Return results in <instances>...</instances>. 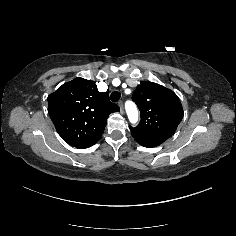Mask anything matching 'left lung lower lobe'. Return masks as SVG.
<instances>
[{
  "label": "left lung lower lobe",
  "mask_w": 236,
  "mask_h": 236,
  "mask_svg": "<svg viewBox=\"0 0 236 236\" xmlns=\"http://www.w3.org/2000/svg\"><path fill=\"white\" fill-rule=\"evenodd\" d=\"M133 138L144 147H154L162 144L164 141L158 139H142L137 136L132 135Z\"/></svg>",
  "instance_id": "0a47b994"
}]
</instances>
